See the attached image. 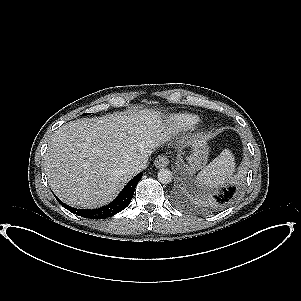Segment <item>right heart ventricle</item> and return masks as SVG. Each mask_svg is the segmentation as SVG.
I'll list each match as a JSON object with an SVG mask.
<instances>
[{"mask_svg":"<svg viewBox=\"0 0 301 301\" xmlns=\"http://www.w3.org/2000/svg\"><path fill=\"white\" fill-rule=\"evenodd\" d=\"M199 120V117L192 113H177L170 116L168 126L172 132L182 133L192 129Z\"/></svg>","mask_w":301,"mask_h":301,"instance_id":"e07e8e85","label":"right heart ventricle"}]
</instances>
